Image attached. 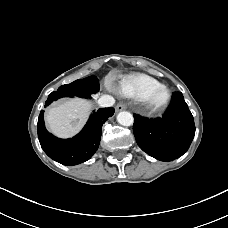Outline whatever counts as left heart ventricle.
Instances as JSON below:
<instances>
[{
  "mask_svg": "<svg viewBox=\"0 0 228 228\" xmlns=\"http://www.w3.org/2000/svg\"><path fill=\"white\" fill-rule=\"evenodd\" d=\"M164 98V93L162 91H159L158 93L155 94L154 98H153V102L155 104L160 103Z\"/></svg>",
  "mask_w": 228,
  "mask_h": 228,
  "instance_id": "b2bd125f",
  "label": "left heart ventricle"
}]
</instances>
